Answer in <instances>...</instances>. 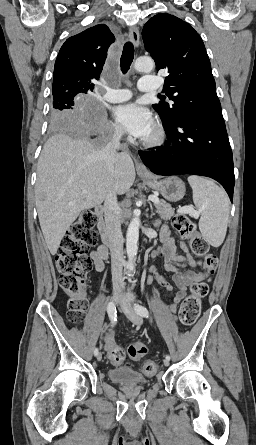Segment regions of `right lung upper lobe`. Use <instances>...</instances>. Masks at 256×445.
Instances as JSON below:
<instances>
[{"label": "right lung upper lobe", "instance_id": "cb5924a9", "mask_svg": "<svg viewBox=\"0 0 256 445\" xmlns=\"http://www.w3.org/2000/svg\"><path fill=\"white\" fill-rule=\"evenodd\" d=\"M114 41V35L104 24L68 38L55 62L52 93L92 91L93 80L99 79L107 50Z\"/></svg>", "mask_w": 256, "mask_h": 445}]
</instances>
